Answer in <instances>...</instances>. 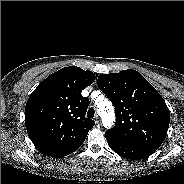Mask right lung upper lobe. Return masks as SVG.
<instances>
[{
  "label": "right lung upper lobe",
  "mask_w": 184,
  "mask_h": 184,
  "mask_svg": "<svg viewBox=\"0 0 184 184\" xmlns=\"http://www.w3.org/2000/svg\"><path fill=\"white\" fill-rule=\"evenodd\" d=\"M95 74L80 67H64L43 80L25 107V126L35 147L55 157L74 152L95 125L85 118L89 99L81 91Z\"/></svg>",
  "instance_id": "right-lung-upper-lobe-1"
}]
</instances>
